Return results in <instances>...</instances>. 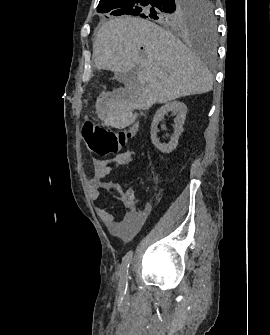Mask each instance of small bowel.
Returning a JSON list of instances; mask_svg holds the SVG:
<instances>
[{
    "instance_id": "obj_1",
    "label": "small bowel",
    "mask_w": 270,
    "mask_h": 335,
    "mask_svg": "<svg viewBox=\"0 0 270 335\" xmlns=\"http://www.w3.org/2000/svg\"><path fill=\"white\" fill-rule=\"evenodd\" d=\"M133 154L124 151L111 159L92 160V173L89 178L90 194L93 198H98L99 190L106 189L114 191L118 200L125 209L121 219H116L115 215L105 208H96L97 216L105 223L108 229L121 239H131L142 228L145 216L135 206L134 191L132 188H122L112 182H104V178L115 167L128 164L132 161Z\"/></svg>"
}]
</instances>
